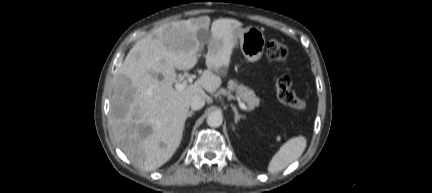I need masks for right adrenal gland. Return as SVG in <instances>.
<instances>
[{"label": "right adrenal gland", "mask_w": 432, "mask_h": 193, "mask_svg": "<svg viewBox=\"0 0 432 193\" xmlns=\"http://www.w3.org/2000/svg\"><path fill=\"white\" fill-rule=\"evenodd\" d=\"M193 114H194V111H190V112H188V114H187V118H188V117H191Z\"/></svg>", "instance_id": "1"}]
</instances>
